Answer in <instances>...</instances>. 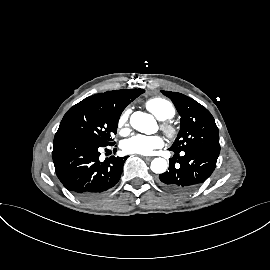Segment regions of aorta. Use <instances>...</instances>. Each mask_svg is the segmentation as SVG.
<instances>
[{
  "label": "aorta",
  "mask_w": 270,
  "mask_h": 270,
  "mask_svg": "<svg viewBox=\"0 0 270 270\" xmlns=\"http://www.w3.org/2000/svg\"><path fill=\"white\" fill-rule=\"evenodd\" d=\"M131 126L145 134H153L157 131V124L152 115L143 112H134L130 117ZM167 161L164 158H155L151 162V170L154 173H164L167 169Z\"/></svg>",
  "instance_id": "762f6f07"
}]
</instances>
